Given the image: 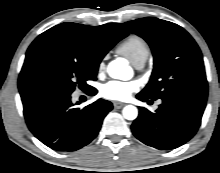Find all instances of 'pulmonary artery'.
<instances>
[{
  "mask_svg": "<svg viewBox=\"0 0 220 173\" xmlns=\"http://www.w3.org/2000/svg\"><path fill=\"white\" fill-rule=\"evenodd\" d=\"M146 60L147 59H139L133 65L135 66V68L141 69L145 65ZM158 104H160V102Z\"/></svg>",
  "mask_w": 220,
  "mask_h": 173,
  "instance_id": "1",
  "label": "pulmonary artery"
}]
</instances>
